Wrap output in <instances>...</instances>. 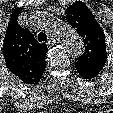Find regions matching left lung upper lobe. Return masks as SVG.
<instances>
[{
    "mask_svg": "<svg viewBox=\"0 0 113 113\" xmlns=\"http://www.w3.org/2000/svg\"><path fill=\"white\" fill-rule=\"evenodd\" d=\"M68 23L83 38L85 52L75 63L101 71L106 63L105 35L88 7L81 1L67 8Z\"/></svg>",
    "mask_w": 113,
    "mask_h": 113,
    "instance_id": "1",
    "label": "left lung upper lobe"
}]
</instances>
